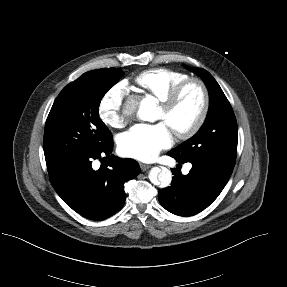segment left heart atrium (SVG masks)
<instances>
[{"label":"left heart atrium","mask_w":287,"mask_h":287,"mask_svg":"<svg viewBox=\"0 0 287 287\" xmlns=\"http://www.w3.org/2000/svg\"><path fill=\"white\" fill-rule=\"evenodd\" d=\"M171 143V131L164 122L137 124L120 136L119 149L124 156L151 161Z\"/></svg>","instance_id":"obj_1"}]
</instances>
